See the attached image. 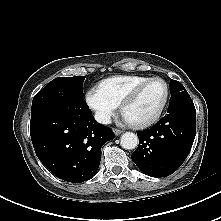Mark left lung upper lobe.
I'll use <instances>...</instances> for the list:
<instances>
[{"instance_id": "1", "label": "left lung upper lobe", "mask_w": 221, "mask_h": 221, "mask_svg": "<svg viewBox=\"0 0 221 221\" xmlns=\"http://www.w3.org/2000/svg\"><path fill=\"white\" fill-rule=\"evenodd\" d=\"M170 91L172 94L170 103H177V102L190 99V96L188 92L186 91V89L184 88V86L176 80L171 79Z\"/></svg>"}]
</instances>
